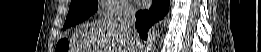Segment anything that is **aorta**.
<instances>
[{"mask_svg":"<svg viewBox=\"0 0 261 52\" xmlns=\"http://www.w3.org/2000/svg\"><path fill=\"white\" fill-rule=\"evenodd\" d=\"M155 33H157V32L153 31V33L150 34V42H154L155 41ZM156 36H157V34H156Z\"/></svg>","mask_w":261,"mask_h":52,"instance_id":"aorta-1","label":"aorta"}]
</instances>
